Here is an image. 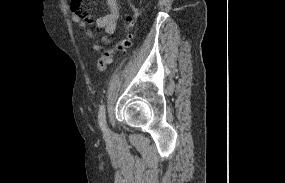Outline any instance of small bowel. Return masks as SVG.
I'll list each match as a JSON object with an SVG mask.
<instances>
[{
    "label": "small bowel",
    "instance_id": "1",
    "mask_svg": "<svg viewBox=\"0 0 285 183\" xmlns=\"http://www.w3.org/2000/svg\"><path fill=\"white\" fill-rule=\"evenodd\" d=\"M72 7L79 8V12H73L71 20L75 23L83 32V41L87 42L88 39H94L92 42V48L95 51H101L104 46L111 42V36L116 31L117 20L120 16V6L118 0H105L109 12L101 17L96 18L94 21L91 15L82 7V0H72ZM94 23L96 29H103L105 31L99 38H95V32L90 28Z\"/></svg>",
    "mask_w": 285,
    "mask_h": 183
}]
</instances>
